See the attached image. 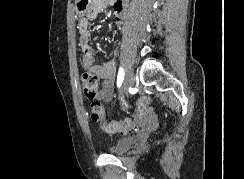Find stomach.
Returning a JSON list of instances; mask_svg holds the SVG:
<instances>
[{
  "label": "stomach",
  "mask_w": 244,
  "mask_h": 179,
  "mask_svg": "<svg viewBox=\"0 0 244 179\" xmlns=\"http://www.w3.org/2000/svg\"><path fill=\"white\" fill-rule=\"evenodd\" d=\"M90 0H76V8H82V9H78V17L82 18L83 14H85V8L87 6V4H89Z\"/></svg>",
  "instance_id": "1"
}]
</instances>
